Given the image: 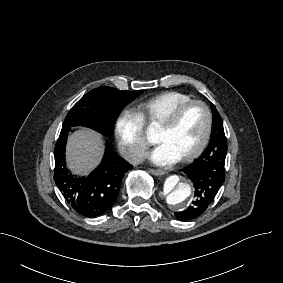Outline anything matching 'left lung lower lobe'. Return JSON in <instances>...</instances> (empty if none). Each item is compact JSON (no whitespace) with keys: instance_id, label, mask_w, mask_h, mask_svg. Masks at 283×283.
<instances>
[{"instance_id":"obj_1","label":"left lung lower lobe","mask_w":283,"mask_h":283,"mask_svg":"<svg viewBox=\"0 0 283 283\" xmlns=\"http://www.w3.org/2000/svg\"><path fill=\"white\" fill-rule=\"evenodd\" d=\"M212 132L214 138L210 139L207 149L182 170L193 182L195 199L186 210L175 213L176 218L181 221L194 219L203 214L225 181L227 143L225 136L221 135V132H224L223 123L213 120Z\"/></svg>"}]
</instances>
